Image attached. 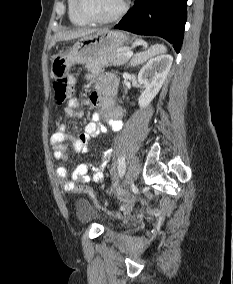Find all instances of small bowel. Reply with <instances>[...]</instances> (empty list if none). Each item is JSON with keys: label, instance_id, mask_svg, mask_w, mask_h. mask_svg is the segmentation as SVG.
I'll list each match as a JSON object with an SVG mask.
<instances>
[{"label": "small bowel", "instance_id": "obj_1", "mask_svg": "<svg viewBox=\"0 0 233 284\" xmlns=\"http://www.w3.org/2000/svg\"><path fill=\"white\" fill-rule=\"evenodd\" d=\"M94 78L96 88L99 93H92L90 95V102L92 105L100 108L99 114H94L92 120L85 126L84 133L77 138H70L67 134L65 124H60L57 131L54 132L50 138V146L53 150L54 158L61 162L56 170L57 178L62 182V186L66 191H72L76 188V184L81 183H100L103 179V170L106 167L111 150L107 149L103 153L102 161L98 166H90L86 163L76 165L71 172V180H67L68 168L62 162L67 158L68 147L65 144L66 140H71L72 145L76 151H82L88 147L89 142L93 137L107 128L118 132L122 129V122L120 120V110L114 105L112 96L116 91L118 81L110 74L88 76ZM64 114L67 117L79 118L83 116V111L79 108V101L77 98L69 100Z\"/></svg>", "mask_w": 233, "mask_h": 284}]
</instances>
